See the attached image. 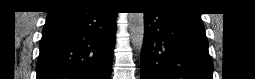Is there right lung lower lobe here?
Wrapping results in <instances>:
<instances>
[{
  "label": "right lung lower lobe",
  "instance_id": "1",
  "mask_svg": "<svg viewBox=\"0 0 255 79\" xmlns=\"http://www.w3.org/2000/svg\"><path fill=\"white\" fill-rule=\"evenodd\" d=\"M116 14L99 5L66 6L48 12L37 79H110Z\"/></svg>",
  "mask_w": 255,
  "mask_h": 79
}]
</instances>
